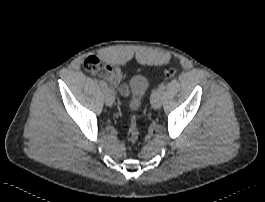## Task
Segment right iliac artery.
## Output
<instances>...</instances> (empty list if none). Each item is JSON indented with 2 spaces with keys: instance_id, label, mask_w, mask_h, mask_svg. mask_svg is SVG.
I'll use <instances>...</instances> for the list:
<instances>
[{
  "instance_id": "right-iliac-artery-1",
  "label": "right iliac artery",
  "mask_w": 265,
  "mask_h": 202,
  "mask_svg": "<svg viewBox=\"0 0 265 202\" xmlns=\"http://www.w3.org/2000/svg\"><path fill=\"white\" fill-rule=\"evenodd\" d=\"M99 85L102 88V90H105L107 88V84L104 81H99Z\"/></svg>"
}]
</instances>
